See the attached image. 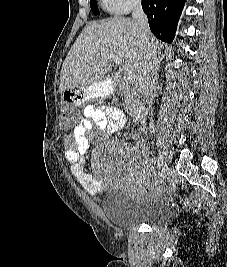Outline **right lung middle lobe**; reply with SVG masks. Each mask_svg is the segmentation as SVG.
Masks as SVG:
<instances>
[{"label": "right lung middle lobe", "instance_id": "obj_1", "mask_svg": "<svg viewBox=\"0 0 227 267\" xmlns=\"http://www.w3.org/2000/svg\"><path fill=\"white\" fill-rule=\"evenodd\" d=\"M90 6H91V11L93 12L94 15L100 14L96 0H90Z\"/></svg>", "mask_w": 227, "mask_h": 267}]
</instances>
